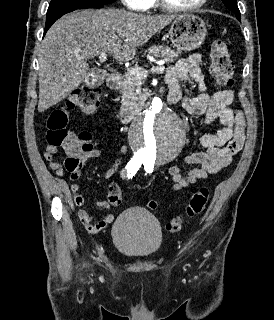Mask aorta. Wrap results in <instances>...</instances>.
<instances>
[{
    "label": "aorta",
    "mask_w": 274,
    "mask_h": 320,
    "mask_svg": "<svg viewBox=\"0 0 274 320\" xmlns=\"http://www.w3.org/2000/svg\"><path fill=\"white\" fill-rule=\"evenodd\" d=\"M185 141L180 118L160 98L154 97L149 109L131 125L130 142L141 158L166 163L176 158Z\"/></svg>",
    "instance_id": "aorta-1"
}]
</instances>
